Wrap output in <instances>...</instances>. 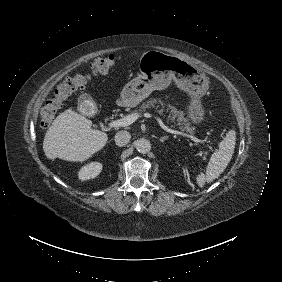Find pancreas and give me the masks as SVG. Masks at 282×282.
<instances>
[{
	"label": "pancreas",
	"instance_id": "obj_1",
	"mask_svg": "<svg viewBox=\"0 0 282 282\" xmlns=\"http://www.w3.org/2000/svg\"><path fill=\"white\" fill-rule=\"evenodd\" d=\"M157 102L160 104V106L162 107L160 110H158L159 114L164 115V108H165V104L161 101V100H156V99H151L149 101H147V103H143L140 106L139 112H137V114L140 116L141 112L146 111L147 108L150 107H154L155 104H157ZM166 112H169V115L167 116L166 122L167 123H172L173 125H171L172 128H175L176 126L181 130V131H186L190 134H194V127H191V123L189 122V119L187 117H185V113L183 111H178L174 106L167 104L166 105ZM159 106H157L156 108H158Z\"/></svg>",
	"mask_w": 282,
	"mask_h": 282
}]
</instances>
